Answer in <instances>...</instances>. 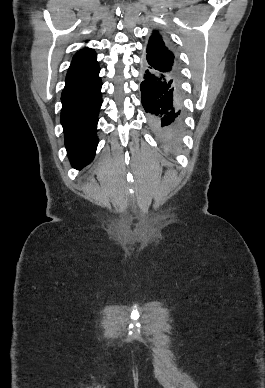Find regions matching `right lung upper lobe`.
<instances>
[{"mask_svg":"<svg viewBox=\"0 0 265 388\" xmlns=\"http://www.w3.org/2000/svg\"><path fill=\"white\" fill-rule=\"evenodd\" d=\"M93 49L84 48L78 51L69 67L65 83L82 81L99 73L100 68Z\"/></svg>","mask_w":265,"mask_h":388,"instance_id":"cb5924a9","label":"right lung upper lobe"}]
</instances>
